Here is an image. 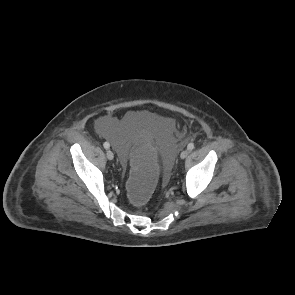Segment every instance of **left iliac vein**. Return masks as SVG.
Returning <instances> with one entry per match:
<instances>
[{"label":"left iliac vein","instance_id":"left-iliac-vein-1","mask_svg":"<svg viewBox=\"0 0 295 295\" xmlns=\"http://www.w3.org/2000/svg\"><path fill=\"white\" fill-rule=\"evenodd\" d=\"M189 151L188 150H183L180 154L181 159H184L188 156Z\"/></svg>","mask_w":295,"mask_h":295}]
</instances>
